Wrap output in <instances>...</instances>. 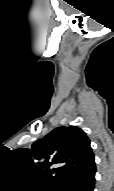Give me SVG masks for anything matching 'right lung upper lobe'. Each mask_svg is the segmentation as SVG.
<instances>
[{
  "label": "right lung upper lobe",
  "instance_id": "1",
  "mask_svg": "<svg viewBox=\"0 0 114 191\" xmlns=\"http://www.w3.org/2000/svg\"><path fill=\"white\" fill-rule=\"evenodd\" d=\"M16 151L26 165L56 188L96 169L90 140L77 126L58 127L34 142L31 150Z\"/></svg>",
  "mask_w": 114,
  "mask_h": 191
}]
</instances>
